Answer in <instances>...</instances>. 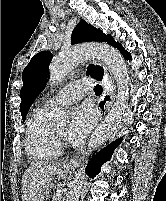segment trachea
I'll return each mask as SVG.
<instances>
[{
  "mask_svg": "<svg viewBox=\"0 0 166 201\" xmlns=\"http://www.w3.org/2000/svg\"><path fill=\"white\" fill-rule=\"evenodd\" d=\"M102 91H103L102 86L99 85V84H97V85L95 86V88H94V92H95L96 94H101Z\"/></svg>",
  "mask_w": 166,
  "mask_h": 201,
  "instance_id": "1",
  "label": "trachea"
}]
</instances>
